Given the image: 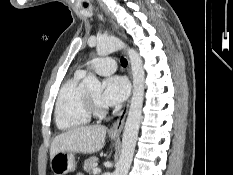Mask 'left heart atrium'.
<instances>
[{
  "label": "left heart atrium",
  "mask_w": 233,
  "mask_h": 175,
  "mask_svg": "<svg viewBox=\"0 0 233 175\" xmlns=\"http://www.w3.org/2000/svg\"><path fill=\"white\" fill-rule=\"evenodd\" d=\"M129 91L130 87L125 78L117 75L108 77L104 82L101 103L106 106H118L126 100Z\"/></svg>",
  "instance_id": "left-heart-atrium-1"
}]
</instances>
